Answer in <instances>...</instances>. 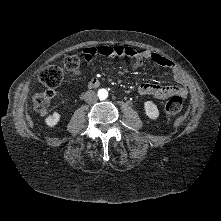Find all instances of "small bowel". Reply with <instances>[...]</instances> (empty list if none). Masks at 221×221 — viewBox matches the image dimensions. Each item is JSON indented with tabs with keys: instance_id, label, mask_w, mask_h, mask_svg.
I'll return each mask as SVG.
<instances>
[{
	"instance_id": "1",
	"label": "small bowel",
	"mask_w": 221,
	"mask_h": 221,
	"mask_svg": "<svg viewBox=\"0 0 221 221\" xmlns=\"http://www.w3.org/2000/svg\"><path fill=\"white\" fill-rule=\"evenodd\" d=\"M98 55L109 58H129L131 59L134 69L140 68L146 61H151L161 67L171 70L176 85L169 86L142 83L138 88V92L141 95H151L158 99H167L172 96L185 98L188 95L186 78L179 67L173 61L158 53L147 50L138 51L130 46L124 45L86 47L83 49V57L86 62H91L93 58Z\"/></svg>"
}]
</instances>
